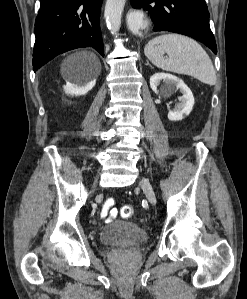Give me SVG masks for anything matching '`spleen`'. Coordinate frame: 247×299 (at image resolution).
<instances>
[{
  "label": "spleen",
  "instance_id": "spleen-1",
  "mask_svg": "<svg viewBox=\"0 0 247 299\" xmlns=\"http://www.w3.org/2000/svg\"><path fill=\"white\" fill-rule=\"evenodd\" d=\"M144 53L153 65L162 70L190 75L208 85L216 83V73L209 55L189 37L160 35L147 43ZM165 53L168 55L166 58Z\"/></svg>",
  "mask_w": 247,
  "mask_h": 299
}]
</instances>
